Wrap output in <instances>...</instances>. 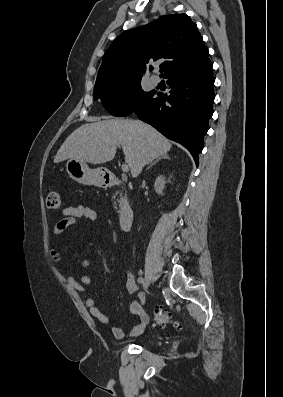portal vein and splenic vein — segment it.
<instances>
[{"label":"portal vein and splenic vein","instance_id":"portal-vein-and-splenic-vein-1","mask_svg":"<svg viewBox=\"0 0 283 397\" xmlns=\"http://www.w3.org/2000/svg\"><path fill=\"white\" fill-rule=\"evenodd\" d=\"M122 171H123V172H128V171H129V166H128V164H122Z\"/></svg>","mask_w":283,"mask_h":397}]
</instances>
